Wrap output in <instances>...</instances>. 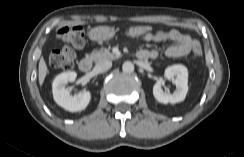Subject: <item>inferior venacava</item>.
<instances>
[{
    "label": "inferior vena cava",
    "mask_w": 244,
    "mask_h": 157,
    "mask_svg": "<svg viewBox=\"0 0 244 157\" xmlns=\"http://www.w3.org/2000/svg\"><path fill=\"white\" fill-rule=\"evenodd\" d=\"M111 66H112V62L110 60H104V61L97 63L96 66L94 67V70L97 73H102V72L109 70L111 68Z\"/></svg>",
    "instance_id": "obj_1"
}]
</instances>
